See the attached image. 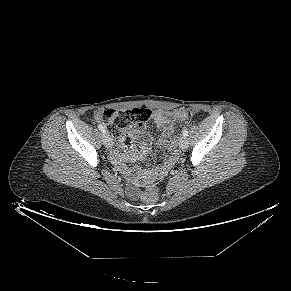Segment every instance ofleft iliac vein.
<instances>
[{
  "label": "left iliac vein",
  "mask_w": 291,
  "mask_h": 291,
  "mask_svg": "<svg viewBox=\"0 0 291 291\" xmlns=\"http://www.w3.org/2000/svg\"><path fill=\"white\" fill-rule=\"evenodd\" d=\"M179 147L182 150L187 149V147H188V141H187V138L186 137H181L180 138V140H179Z\"/></svg>",
  "instance_id": "obj_1"
}]
</instances>
